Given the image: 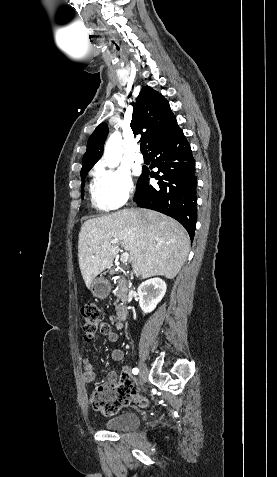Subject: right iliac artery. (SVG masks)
<instances>
[{
  "label": "right iliac artery",
  "instance_id": "right-iliac-artery-1",
  "mask_svg": "<svg viewBox=\"0 0 277 477\" xmlns=\"http://www.w3.org/2000/svg\"><path fill=\"white\" fill-rule=\"evenodd\" d=\"M132 372H133V374L137 375L138 372H139V370H138L137 368H134V369L132 370Z\"/></svg>",
  "mask_w": 277,
  "mask_h": 477
}]
</instances>
